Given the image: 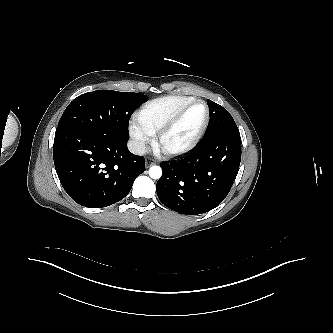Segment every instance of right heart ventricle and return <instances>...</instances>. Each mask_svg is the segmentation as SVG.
<instances>
[{
  "instance_id": "e07e8e85",
  "label": "right heart ventricle",
  "mask_w": 333,
  "mask_h": 333,
  "mask_svg": "<svg viewBox=\"0 0 333 333\" xmlns=\"http://www.w3.org/2000/svg\"><path fill=\"white\" fill-rule=\"evenodd\" d=\"M194 100L183 95H168L146 102L137 112L136 120L149 133L157 131L185 104Z\"/></svg>"
}]
</instances>
